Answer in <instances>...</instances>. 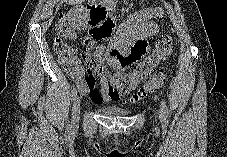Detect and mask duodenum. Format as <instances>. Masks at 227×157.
I'll return each instance as SVG.
<instances>
[{
  "mask_svg": "<svg viewBox=\"0 0 227 157\" xmlns=\"http://www.w3.org/2000/svg\"><path fill=\"white\" fill-rule=\"evenodd\" d=\"M88 9H94L98 16H89L86 20V25H91L93 32H108L109 30H117V25H114L112 17L107 15L103 4L94 3L88 4Z\"/></svg>",
  "mask_w": 227,
  "mask_h": 157,
  "instance_id": "410a0bca",
  "label": "duodenum"
}]
</instances>
